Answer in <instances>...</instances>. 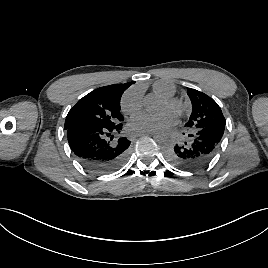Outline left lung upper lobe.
I'll return each mask as SVG.
<instances>
[{
	"mask_svg": "<svg viewBox=\"0 0 268 268\" xmlns=\"http://www.w3.org/2000/svg\"><path fill=\"white\" fill-rule=\"evenodd\" d=\"M187 94L192 103V113L185 124L188 130L194 132L206 127L225 126L221 108L212 98L195 89H188Z\"/></svg>",
	"mask_w": 268,
	"mask_h": 268,
	"instance_id": "left-lung-upper-lobe-1",
	"label": "left lung upper lobe"
}]
</instances>
